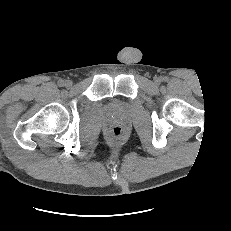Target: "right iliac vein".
<instances>
[{
  "label": "right iliac vein",
  "mask_w": 231,
  "mask_h": 231,
  "mask_svg": "<svg viewBox=\"0 0 231 231\" xmlns=\"http://www.w3.org/2000/svg\"><path fill=\"white\" fill-rule=\"evenodd\" d=\"M66 87H71L72 86V81L68 80L65 82Z\"/></svg>",
  "instance_id": "obj_1"
}]
</instances>
